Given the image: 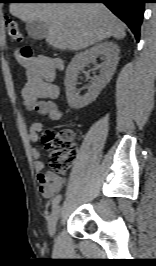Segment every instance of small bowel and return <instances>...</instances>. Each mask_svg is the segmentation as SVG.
<instances>
[{"label": "small bowel", "instance_id": "c3829d8e", "mask_svg": "<svg viewBox=\"0 0 156 266\" xmlns=\"http://www.w3.org/2000/svg\"><path fill=\"white\" fill-rule=\"evenodd\" d=\"M16 57L26 69L27 82L22 91L25 108L45 115L52 121L60 120L63 114L55 101L59 96V88L53 83L56 62L44 56L24 59L17 54ZM43 132L45 125L42 122H34L30 126L29 139L40 192L44 198L51 199L62 187L64 179L45 172V165L40 159L41 153L36 147L39 134Z\"/></svg>", "mask_w": 156, "mask_h": 266}]
</instances>
